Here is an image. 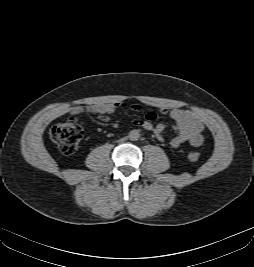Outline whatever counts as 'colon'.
Returning a JSON list of instances; mask_svg holds the SVG:
<instances>
[{"mask_svg": "<svg viewBox=\"0 0 254 267\" xmlns=\"http://www.w3.org/2000/svg\"><path fill=\"white\" fill-rule=\"evenodd\" d=\"M83 136V129L75 119H68L65 122L54 125L50 130L51 139L57 144L64 154H72L76 151ZM200 158V153L191 151L188 159L196 162Z\"/></svg>", "mask_w": 254, "mask_h": 267, "instance_id": "1", "label": "colon"}]
</instances>
